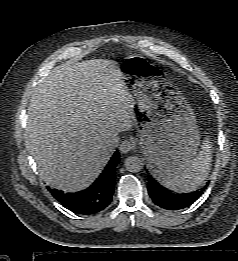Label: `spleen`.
Returning a JSON list of instances; mask_svg holds the SVG:
<instances>
[{"label": "spleen", "instance_id": "obj_1", "mask_svg": "<svg viewBox=\"0 0 238 261\" xmlns=\"http://www.w3.org/2000/svg\"><path fill=\"white\" fill-rule=\"evenodd\" d=\"M212 142L204 139L201 151L189 165L178 175L163 182V185L176 192H191L200 187L206 180L212 163Z\"/></svg>", "mask_w": 238, "mask_h": 261}]
</instances>
